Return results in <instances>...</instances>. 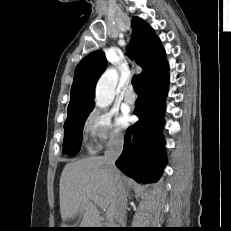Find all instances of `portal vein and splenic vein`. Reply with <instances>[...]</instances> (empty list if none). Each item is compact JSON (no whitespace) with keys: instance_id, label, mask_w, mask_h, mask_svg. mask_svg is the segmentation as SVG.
Masks as SVG:
<instances>
[{"instance_id":"1","label":"portal vein and splenic vein","mask_w":231,"mask_h":231,"mask_svg":"<svg viewBox=\"0 0 231 231\" xmlns=\"http://www.w3.org/2000/svg\"><path fill=\"white\" fill-rule=\"evenodd\" d=\"M90 199L100 208H103V203L98 196H92Z\"/></svg>"}]
</instances>
